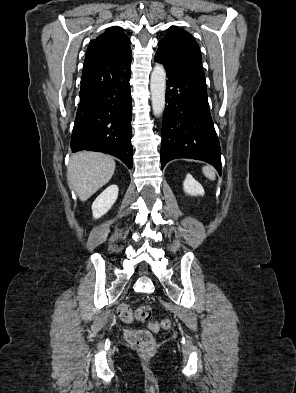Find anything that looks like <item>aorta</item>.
Returning <instances> with one entry per match:
<instances>
[{
    "label": "aorta",
    "mask_w": 296,
    "mask_h": 393,
    "mask_svg": "<svg viewBox=\"0 0 296 393\" xmlns=\"http://www.w3.org/2000/svg\"><path fill=\"white\" fill-rule=\"evenodd\" d=\"M166 71L161 64L154 66L150 78L152 109L155 116H160L165 109Z\"/></svg>",
    "instance_id": "1"
}]
</instances>
